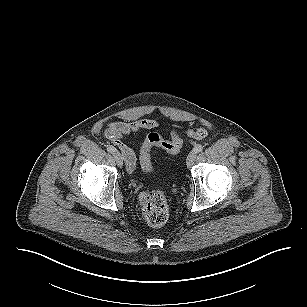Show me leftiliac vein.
<instances>
[{"label": "left iliac vein", "mask_w": 307, "mask_h": 307, "mask_svg": "<svg viewBox=\"0 0 307 307\" xmlns=\"http://www.w3.org/2000/svg\"><path fill=\"white\" fill-rule=\"evenodd\" d=\"M195 159H196V153L194 151H191L188 156H187V160H186V163H187V167L190 168L193 166L194 162H195Z\"/></svg>", "instance_id": "4c4485c4"}]
</instances>
